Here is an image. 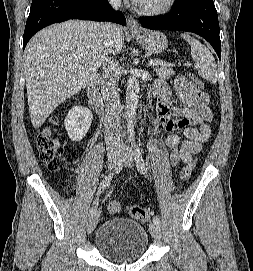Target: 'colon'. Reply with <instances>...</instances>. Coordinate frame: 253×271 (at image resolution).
Segmentation results:
<instances>
[{
  "instance_id": "obj_1",
  "label": "colon",
  "mask_w": 253,
  "mask_h": 271,
  "mask_svg": "<svg viewBox=\"0 0 253 271\" xmlns=\"http://www.w3.org/2000/svg\"><path fill=\"white\" fill-rule=\"evenodd\" d=\"M191 78L197 83L199 87H202V82L197 77L192 75ZM36 142L40 158L44 162L46 168L49 171H55L58 168L59 157L62 153V146L59 139L49 128H46L39 133ZM194 166V159L186 163V166L180 174L182 181L189 180ZM107 210L110 214H117L121 210V205L117 201H111L107 205ZM129 214L133 219L141 222L149 221L151 216L150 212L146 208L139 205L130 206Z\"/></svg>"
}]
</instances>
